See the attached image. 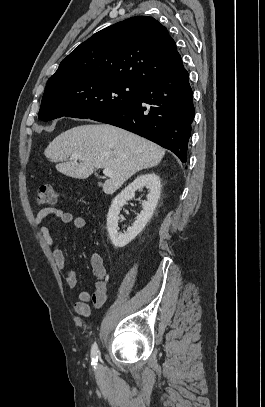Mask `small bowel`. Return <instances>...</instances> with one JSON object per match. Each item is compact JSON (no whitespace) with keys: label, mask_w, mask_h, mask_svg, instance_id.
Instances as JSON below:
<instances>
[{"label":"small bowel","mask_w":265,"mask_h":407,"mask_svg":"<svg viewBox=\"0 0 265 407\" xmlns=\"http://www.w3.org/2000/svg\"><path fill=\"white\" fill-rule=\"evenodd\" d=\"M51 215L57 216L64 224L73 223L76 229H83L86 222L82 217H74L70 212L52 207L42 208L36 214L35 223L40 226V232L45 244L52 253L55 265L58 269L63 270L66 267L63 251L55 242L49 227L46 225L47 218ZM91 266L93 274L97 279L95 290L93 293L86 289L81 290L78 293V300L74 304V311L83 317L90 316V303H92L95 308H101L107 298V271L102 258L99 255H93L91 258ZM65 282L70 288L76 287L77 274L74 269L68 268L66 270Z\"/></svg>","instance_id":"small-bowel-1"}]
</instances>
